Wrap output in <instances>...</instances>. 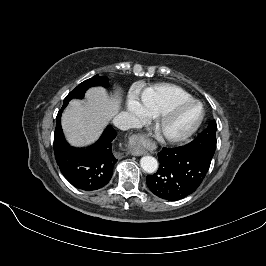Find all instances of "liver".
<instances>
[{"label": "liver", "instance_id": "1", "mask_svg": "<svg viewBox=\"0 0 266 266\" xmlns=\"http://www.w3.org/2000/svg\"><path fill=\"white\" fill-rule=\"evenodd\" d=\"M119 92L109 97L102 87L86 93V101L73 100L62 116V127L69 143L84 146L94 142L105 124L120 110Z\"/></svg>", "mask_w": 266, "mask_h": 266}]
</instances>
